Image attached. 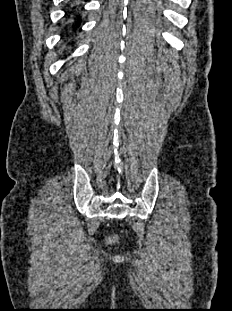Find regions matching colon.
I'll list each match as a JSON object with an SVG mask.
<instances>
[{
  "instance_id": "5ec220e1",
  "label": "colon",
  "mask_w": 232,
  "mask_h": 311,
  "mask_svg": "<svg viewBox=\"0 0 232 311\" xmlns=\"http://www.w3.org/2000/svg\"><path fill=\"white\" fill-rule=\"evenodd\" d=\"M116 241V238L115 237H111L110 239H109V242L110 243H114Z\"/></svg>"
}]
</instances>
